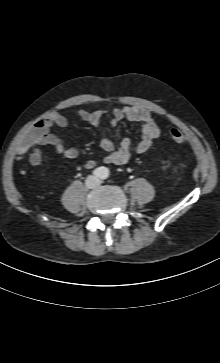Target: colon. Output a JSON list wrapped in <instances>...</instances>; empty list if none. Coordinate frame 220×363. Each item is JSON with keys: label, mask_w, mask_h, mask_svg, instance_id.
<instances>
[{"label": "colon", "mask_w": 220, "mask_h": 363, "mask_svg": "<svg viewBox=\"0 0 220 363\" xmlns=\"http://www.w3.org/2000/svg\"><path fill=\"white\" fill-rule=\"evenodd\" d=\"M169 137L173 142L178 144L184 143L187 140L183 132L174 128L169 130Z\"/></svg>", "instance_id": "1"}]
</instances>
